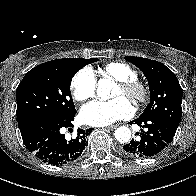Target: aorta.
Segmentation results:
<instances>
[{
  "label": "aorta",
  "instance_id": "1",
  "mask_svg": "<svg viewBox=\"0 0 196 196\" xmlns=\"http://www.w3.org/2000/svg\"><path fill=\"white\" fill-rule=\"evenodd\" d=\"M114 86V82L110 78H102L98 81L97 95L102 100H108L114 95L111 93V90ZM114 136L117 141L120 143H126L131 138V131L128 127L121 126L117 128L114 132Z\"/></svg>",
  "mask_w": 196,
  "mask_h": 196
}]
</instances>
